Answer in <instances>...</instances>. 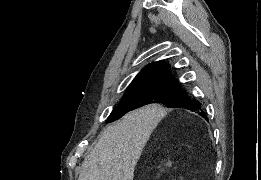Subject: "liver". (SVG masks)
Here are the masks:
<instances>
[{"label":"liver","instance_id":"6515ba94","mask_svg":"<svg viewBox=\"0 0 261 180\" xmlns=\"http://www.w3.org/2000/svg\"><path fill=\"white\" fill-rule=\"evenodd\" d=\"M159 110L157 104L145 106L104 128L82 162L79 180H133L135 166L154 130Z\"/></svg>","mask_w":261,"mask_h":180}]
</instances>
